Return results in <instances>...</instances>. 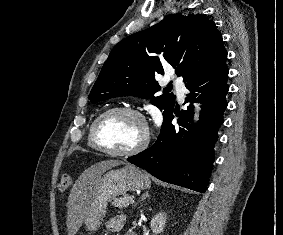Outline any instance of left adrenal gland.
Masks as SVG:
<instances>
[{"mask_svg":"<svg viewBox=\"0 0 283 235\" xmlns=\"http://www.w3.org/2000/svg\"><path fill=\"white\" fill-rule=\"evenodd\" d=\"M149 196H150L149 192H145L144 194H142L139 202L143 201L144 199L148 198Z\"/></svg>","mask_w":283,"mask_h":235,"instance_id":"left-adrenal-gland-1","label":"left adrenal gland"}]
</instances>
